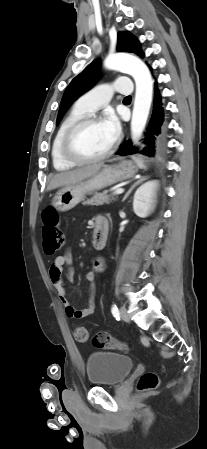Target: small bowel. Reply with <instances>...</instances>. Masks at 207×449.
<instances>
[{"label": "small bowel", "mask_w": 207, "mask_h": 449, "mask_svg": "<svg viewBox=\"0 0 207 449\" xmlns=\"http://www.w3.org/2000/svg\"><path fill=\"white\" fill-rule=\"evenodd\" d=\"M104 216H99L98 218H102ZM106 218V217H104ZM107 219V218H106ZM108 221V219H107ZM109 225V221H108ZM73 263V255L70 249L66 250L63 254L58 255L53 263L50 266V277L52 280V283L55 287L56 293L61 301V303L64 306L65 313L68 317L73 319H83L85 317H88L92 315L95 312L96 304H95V289H96V278H97V271L102 267V263L100 261H96L94 263L93 270L89 271L86 274V280L89 283L90 291H91V297L89 300L88 305L81 310L75 309L69 298L67 297V292L64 287V280H63V270L64 267H67L66 270V277L69 281H73L74 276V269L72 267Z\"/></svg>", "instance_id": "obj_1"}]
</instances>
